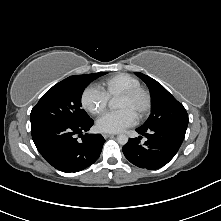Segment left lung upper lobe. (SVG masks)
<instances>
[{
  "label": "left lung upper lobe",
  "mask_w": 221,
  "mask_h": 221,
  "mask_svg": "<svg viewBox=\"0 0 221 221\" xmlns=\"http://www.w3.org/2000/svg\"><path fill=\"white\" fill-rule=\"evenodd\" d=\"M149 87L152 96V113L141 128L149 129L168 124L188 125V114L160 83L142 73H135Z\"/></svg>",
  "instance_id": "obj_1"
}]
</instances>
